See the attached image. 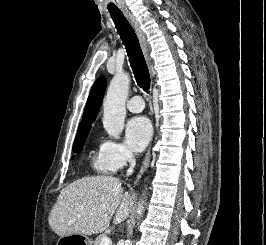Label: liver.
<instances>
[{
    "mask_svg": "<svg viewBox=\"0 0 266 245\" xmlns=\"http://www.w3.org/2000/svg\"><path fill=\"white\" fill-rule=\"evenodd\" d=\"M133 197L115 177H83L62 189L48 223L58 237L103 233L130 215ZM104 205L105 209H102Z\"/></svg>",
    "mask_w": 266,
    "mask_h": 245,
    "instance_id": "1",
    "label": "liver"
}]
</instances>
